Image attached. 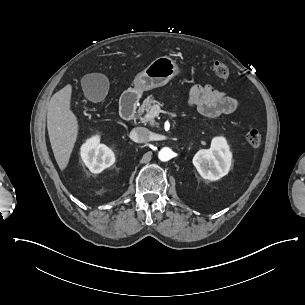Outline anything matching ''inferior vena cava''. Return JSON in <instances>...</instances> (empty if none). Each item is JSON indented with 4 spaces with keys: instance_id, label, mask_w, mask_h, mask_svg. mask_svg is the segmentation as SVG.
<instances>
[{
    "instance_id": "602c4592",
    "label": "inferior vena cava",
    "mask_w": 305,
    "mask_h": 305,
    "mask_svg": "<svg viewBox=\"0 0 305 305\" xmlns=\"http://www.w3.org/2000/svg\"><path fill=\"white\" fill-rule=\"evenodd\" d=\"M130 137L136 143H145L150 137V130L144 127H137L131 131Z\"/></svg>"
}]
</instances>
